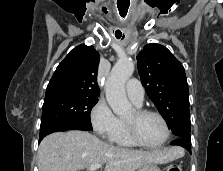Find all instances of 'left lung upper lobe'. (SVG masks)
Here are the masks:
<instances>
[{
    "label": "left lung upper lobe",
    "mask_w": 223,
    "mask_h": 171,
    "mask_svg": "<svg viewBox=\"0 0 223 171\" xmlns=\"http://www.w3.org/2000/svg\"><path fill=\"white\" fill-rule=\"evenodd\" d=\"M146 93L175 137L191 140L188 84L183 65L165 47L147 44L137 55Z\"/></svg>",
    "instance_id": "obj_1"
}]
</instances>
